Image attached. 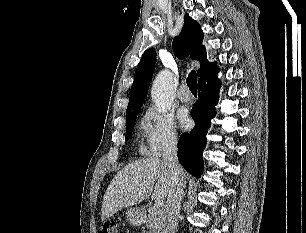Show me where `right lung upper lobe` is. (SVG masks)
Listing matches in <instances>:
<instances>
[{
	"mask_svg": "<svg viewBox=\"0 0 306 233\" xmlns=\"http://www.w3.org/2000/svg\"><path fill=\"white\" fill-rule=\"evenodd\" d=\"M203 38L204 34L199 23L186 14L183 29L180 35L174 38L172 43L173 51L178 58H186L190 55L192 59L200 62V69L198 70L200 79L217 68L216 63H209L206 59V50L202 46ZM155 63L156 51L150 48L144 52L135 71L126 116L140 111L147 97Z\"/></svg>",
	"mask_w": 306,
	"mask_h": 233,
	"instance_id": "right-lung-upper-lobe-1",
	"label": "right lung upper lobe"
}]
</instances>
